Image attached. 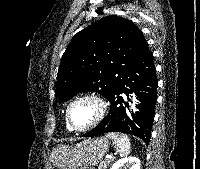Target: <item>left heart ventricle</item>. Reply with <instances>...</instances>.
<instances>
[{"instance_id":"1","label":"left heart ventricle","mask_w":200,"mask_h":169,"mask_svg":"<svg viewBox=\"0 0 200 169\" xmlns=\"http://www.w3.org/2000/svg\"><path fill=\"white\" fill-rule=\"evenodd\" d=\"M71 120L76 127L89 125L97 115V106L92 101H81L71 108Z\"/></svg>"}]
</instances>
